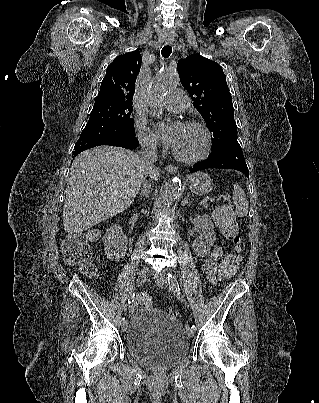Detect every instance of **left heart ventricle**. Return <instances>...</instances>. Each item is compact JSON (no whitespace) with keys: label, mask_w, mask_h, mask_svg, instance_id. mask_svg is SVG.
Returning a JSON list of instances; mask_svg holds the SVG:
<instances>
[{"label":"left heart ventricle","mask_w":319,"mask_h":403,"mask_svg":"<svg viewBox=\"0 0 319 403\" xmlns=\"http://www.w3.org/2000/svg\"><path fill=\"white\" fill-rule=\"evenodd\" d=\"M203 145L204 140L201 132L197 128L183 125L181 138L174 149L182 156L192 157L202 151Z\"/></svg>","instance_id":"b2bd125f"}]
</instances>
